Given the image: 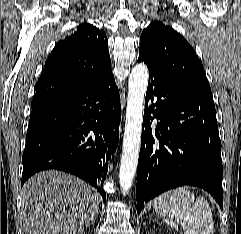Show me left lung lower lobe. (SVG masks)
I'll list each match as a JSON object with an SVG mask.
<instances>
[{
    "mask_svg": "<svg viewBox=\"0 0 241 234\" xmlns=\"http://www.w3.org/2000/svg\"><path fill=\"white\" fill-rule=\"evenodd\" d=\"M147 66L150 82L137 170V212L145 202L181 185L203 188L222 209L221 142L211 92Z\"/></svg>",
    "mask_w": 241,
    "mask_h": 234,
    "instance_id": "1",
    "label": "left lung lower lobe"
}]
</instances>
